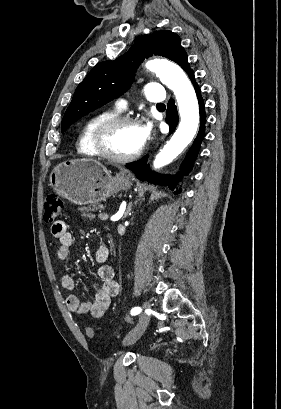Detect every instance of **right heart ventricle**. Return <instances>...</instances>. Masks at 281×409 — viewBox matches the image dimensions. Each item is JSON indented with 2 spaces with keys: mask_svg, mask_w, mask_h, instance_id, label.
I'll use <instances>...</instances> for the list:
<instances>
[{
  "mask_svg": "<svg viewBox=\"0 0 281 409\" xmlns=\"http://www.w3.org/2000/svg\"><path fill=\"white\" fill-rule=\"evenodd\" d=\"M114 115L111 111H102L92 115L86 121L78 141V150L81 154L89 157H101L95 144L96 131L104 120Z\"/></svg>",
  "mask_w": 281,
  "mask_h": 409,
  "instance_id": "right-heart-ventricle-1",
  "label": "right heart ventricle"
}]
</instances>
